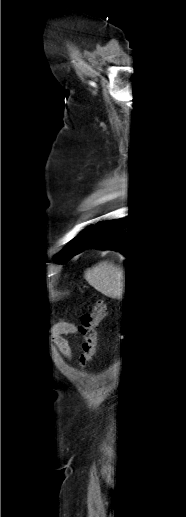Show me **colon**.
<instances>
[{
  "mask_svg": "<svg viewBox=\"0 0 186 517\" xmlns=\"http://www.w3.org/2000/svg\"><path fill=\"white\" fill-rule=\"evenodd\" d=\"M107 315V305L97 300L92 309L85 312L80 320V333L83 337L79 366L85 368L96 354L98 328Z\"/></svg>",
  "mask_w": 186,
  "mask_h": 517,
  "instance_id": "obj_1",
  "label": "colon"
}]
</instances>
